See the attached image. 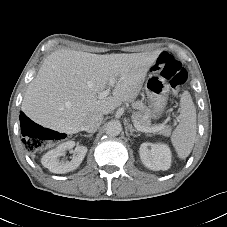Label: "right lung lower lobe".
Segmentation results:
<instances>
[{
	"label": "right lung lower lobe",
	"instance_id": "98d812e1",
	"mask_svg": "<svg viewBox=\"0 0 227 227\" xmlns=\"http://www.w3.org/2000/svg\"><path fill=\"white\" fill-rule=\"evenodd\" d=\"M20 123H21V130H24L27 125L33 123L29 118L25 116L24 113L20 114Z\"/></svg>",
	"mask_w": 227,
	"mask_h": 227
}]
</instances>
